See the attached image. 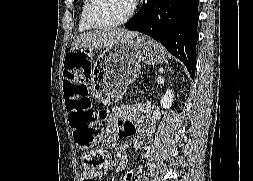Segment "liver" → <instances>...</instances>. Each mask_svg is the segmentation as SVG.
Instances as JSON below:
<instances>
[{"mask_svg": "<svg viewBox=\"0 0 253 181\" xmlns=\"http://www.w3.org/2000/svg\"><path fill=\"white\" fill-rule=\"evenodd\" d=\"M138 35V32L128 31L121 28L86 32L78 35L73 40L71 50L75 51L80 48L96 49L111 47L115 43L132 40Z\"/></svg>", "mask_w": 253, "mask_h": 181, "instance_id": "liver-1", "label": "liver"}]
</instances>
